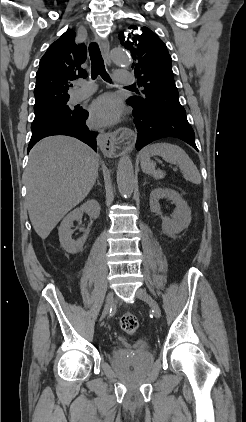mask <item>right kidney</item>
<instances>
[{
	"mask_svg": "<svg viewBox=\"0 0 246 422\" xmlns=\"http://www.w3.org/2000/svg\"><path fill=\"white\" fill-rule=\"evenodd\" d=\"M84 212L92 219H97L100 215V205L97 200H88L79 208L70 212L60 224L58 232L59 241L63 249L70 254L78 253L83 249L90 232V229L85 230L82 228L81 230L84 232L83 236L76 241L72 239V223L74 220L80 221Z\"/></svg>",
	"mask_w": 246,
	"mask_h": 422,
	"instance_id": "right-kidney-1",
	"label": "right kidney"
}]
</instances>
